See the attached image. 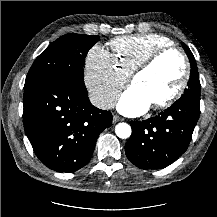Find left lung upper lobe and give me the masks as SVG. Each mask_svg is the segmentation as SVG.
Instances as JSON below:
<instances>
[{
  "label": "left lung upper lobe",
  "mask_w": 217,
  "mask_h": 217,
  "mask_svg": "<svg viewBox=\"0 0 217 217\" xmlns=\"http://www.w3.org/2000/svg\"><path fill=\"white\" fill-rule=\"evenodd\" d=\"M182 46L191 63L190 79L187 84L188 87L185 89L182 97L185 96V97L200 100L201 85L199 81V73H198L197 64L195 62V58L187 45L182 43Z\"/></svg>",
  "instance_id": "1"
}]
</instances>
